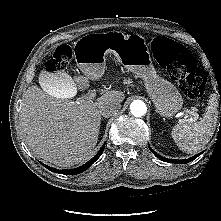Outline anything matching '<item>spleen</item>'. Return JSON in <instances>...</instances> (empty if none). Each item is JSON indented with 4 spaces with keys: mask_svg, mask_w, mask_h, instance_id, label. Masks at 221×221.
<instances>
[{
    "mask_svg": "<svg viewBox=\"0 0 221 221\" xmlns=\"http://www.w3.org/2000/svg\"><path fill=\"white\" fill-rule=\"evenodd\" d=\"M217 122V102L211 98L200 121L175 125L171 135L180 150L186 153H196L210 141Z\"/></svg>",
    "mask_w": 221,
    "mask_h": 221,
    "instance_id": "3e777b00",
    "label": "spleen"
}]
</instances>
